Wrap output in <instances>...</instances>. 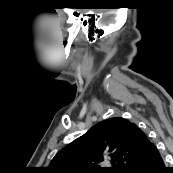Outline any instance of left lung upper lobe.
Segmentation results:
<instances>
[{
  "instance_id": "left-lung-upper-lobe-1",
  "label": "left lung upper lobe",
  "mask_w": 173,
  "mask_h": 173,
  "mask_svg": "<svg viewBox=\"0 0 173 173\" xmlns=\"http://www.w3.org/2000/svg\"><path fill=\"white\" fill-rule=\"evenodd\" d=\"M147 145V136L135 123L114 117L58 152L50 169L55 173H128ZM104 156L111 158L113 167L99 166Z\"/></svg>"
}]
</instances>
